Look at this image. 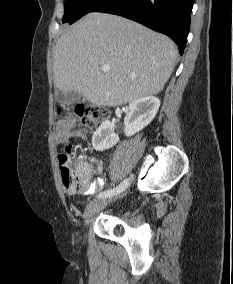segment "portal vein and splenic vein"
<instances>
[{
    "label": "portal vein and splenic vein",
    "instance_id": "18ae733b",
    "mask_svg": "<svg viewBox=\"0 0 233 284\" xmlns=\"http://www.w3.org/2000/svg\"><path fill=\"white\" fill-rule=\"evenodd\" d=\"M101 69L102 71H109L110 67L109 65H102Z\"/></svg>",
    "mask_w": 233,
    "mask_h": 284
}]
</instances>
